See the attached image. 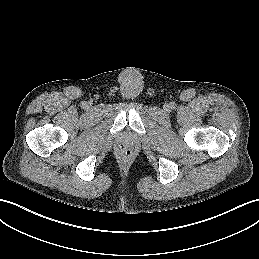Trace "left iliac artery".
Instances as JSON below:
<instances>
[{
	"label": "left iliac artery",
	"instance_id": "44dca946",
	"mask_svg": "<svg viewBox=\"0 0 259 259\" xmlns=\"http://www.w3.org/2000/svg\"><path fill=\"white\" fill-rule=\"evenodd\" d=\"M176 107V104L174 102L171 103V108L174 109Z\"/></svg>",
	"mask_w": 259,
	"mask_h": 259
}]
</instances>
